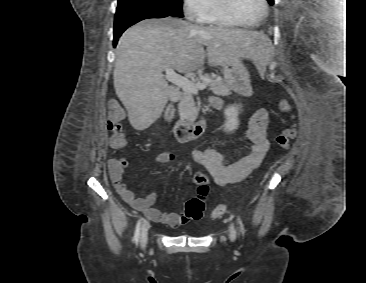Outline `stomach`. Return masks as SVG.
I'll return each mask as SVG.
<instances>
[{
    "label": "stomach",
    "instance_id": "1",
    "mask_svg": "<svg viewBox=\"0 0 366 283\" xmlns=\"http://www.w3.org/2000/svg\"><path fill=\"white\" fill-rule=\"evenodd\" d=\"M225 81L234 91L242 90V74L248 75L240 58L224 62L222 65ZM248 81V80H247Z\"/></svg>",
    "mask_w": 366,
    "mask_h": 283
}]
</instances>
